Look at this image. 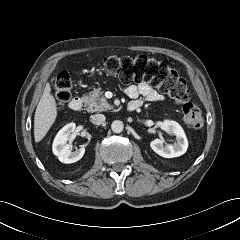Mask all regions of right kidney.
<instances>
[{"instance_id":"ca27d5eb","label":"right kidney","mask_w":240,"mask_h":240,"mask_svg":"<svg viewBox=\"0 0 240 240\" xmlns=\"http://www.w3.org/2000/svg\"><path fill=\"white\" fill-rule=\"evenodd\" d=\"M75 128V123L67 124L57 133L53 142L52 149L54 155H56L61 162L66 164L77 162L85 153L84 147L71 151L70 145L67 144L68 138L75 131Z\"/></svg>"}]
</instances>
